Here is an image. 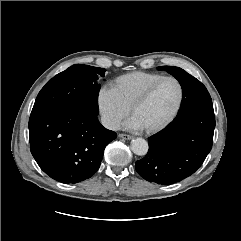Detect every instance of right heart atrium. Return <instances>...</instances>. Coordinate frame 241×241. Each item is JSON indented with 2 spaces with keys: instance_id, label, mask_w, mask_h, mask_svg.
<instances>
[{
  "instance_id": "obj_1",
  "label": "right heart atrium",
  "mask_w": 241,
  "mask_h": 241,
  "mask_svg": "<svg viewBox=\"0 0 241 241\" xmlns=\"http://www.w3.org/2000/svg\"><path fill=\"white\" fill-rule=\"evenodd\" d=\"M97 105L103 123L112 130L117 129L129 113V108L119 99L111 87L103 86L99 89Z\"/></svg>"
}]
</instances>
